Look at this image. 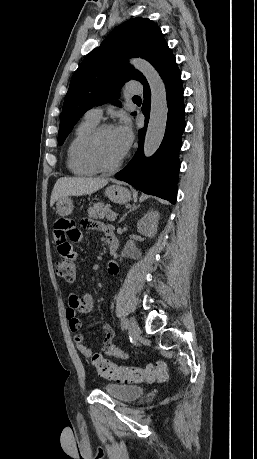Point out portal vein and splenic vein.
<instances>
[{
  "mask_svg": "<svg viewBox=\"0 0 257 459\" xmlns=\"http://www.w3.org/2000/svg\"><path fill=\"white\" fill-rule=\"evenodd\" d=\"M106 219L109 221H115L116 216L114 214H107Z\"/></svg>",
  "mask_w": 257,
  "mask_h": 459,
  "instance_id": "portal-vein-and-splenic-vein-1",
  "label": "portal vein and splenic vein"
}]
</instances>
